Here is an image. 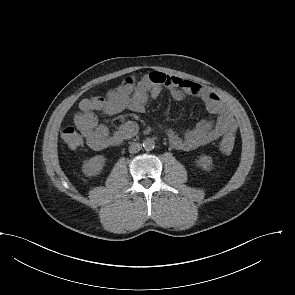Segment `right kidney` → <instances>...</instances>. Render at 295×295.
Wrapping results in <instances>:
<instances>
[{
	"instance_id": "right-kidney-1",
	"label": "right kidney",
	"mask_w": 295,
	"mask_h": 295,
	"mask_svg": "<svg viewBox=\"0 0 295 295\" xmlns=\"http://www.w3.org/2000/svg\"><path fill=\"white\" fill-rule=\"evenodd\" d=\"M106 159L102 155H97L87 160L83 166L82 171L86 176L98 175L105 166Z\"/></svg>"
}]
</instances>
